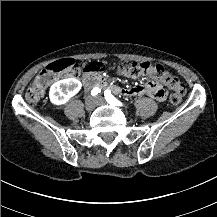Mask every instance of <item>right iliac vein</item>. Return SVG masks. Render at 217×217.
I'll return each instance as SVG.
<instances>
[{
  "mask_svg": "<svg viewBox=\"0 0 217 217\" xmlns=\"http://www.w3.org/2000/svg\"><path fill=\"white\" fill-rule=\"evenodd\" d=\"M96 106V99L92 96H88L85 99V108L87 111H92Z\"/></svg>",
  "mask_w": 217,
  "mask_h": 217,
  "instance_id": "obj_1",
  "label": "right iliac vein"
}]
</instances>
